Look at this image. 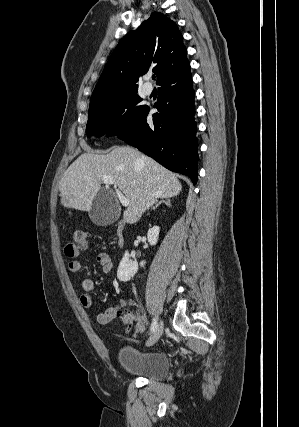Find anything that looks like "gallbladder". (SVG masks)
Here are the masks:
<instances>
[{"label":"gallbladder","mask_w":299,"mask_h":427,"mask_svg":"<svg viewBox=\"0 0 299 427\" xmlns=\"http://www.w3.org/2000/svg\"><path fill=\"white\" fill-rule=\"evenodd\" d=\"M120 216V208L113 192L101 189L89 211L91 221L98 226L113 224Z\"/></svg>","instance_id":"bac80fb5"}]
</instances>
